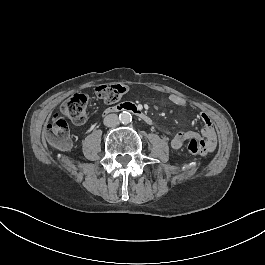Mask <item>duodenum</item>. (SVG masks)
Wrapping results in <instances>:
<instances>
[{
	"mask_svg": "<svg viewBox=\"0 0 265 265\" xmlns=\"http://www.w3.org/2000/svg\"><path fill=\"white\" fill-rule=\"evenodd\" d=\"M123 111H130L133 114H135L137 117H139L141 120H143L146 124L152 125V117L143 111L141 108H139L136 104L134 103H120L116 106H113L112 108L108 109L106 113L103 115L104 117L109 116L110 114L113 113H120Z\"/></svg>",
	"mask_w": 265,
	"mask_h": 265,
	"instance_id": "410a0bca",
	"label": "duodenum"
}]
</instances>
